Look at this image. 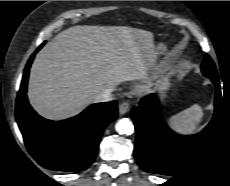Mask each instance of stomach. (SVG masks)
<instances>
[{"label": "stomach", "mask_w": 230, "mask_h": 186, "mask_svg": "<svg viewBox=\"0 0 230 186\" xmlns=\"http://www.w3.org/2000/svg\"><path fill=\"white\" fill-rule=\"evenodd\" d=\"M166 52V46L163 43L158 44L157 54L162 55ZM157 90L164 96L171 85V77L169 74L159 73L155 76Z\"/></svg>", "instance_id": "0dacf381"}]
</instances>
